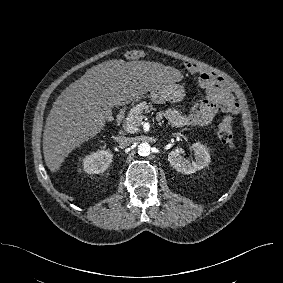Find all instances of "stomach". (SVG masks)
<instances>
[{
	"label": "stomach",
	"instance_id": "stomach-1",
	"mask_svg": "<svg viewBox=\"0 0 283 283\" xmlns=\"http://www.w3.org/2000/svg\"><path fill=\"white\" fill-rule=\"evenodd\" d=\"M147 97L154 103L163 104L167 101L177 103L185 97L183 86L178 84L163 85L149 92ZM139 100V99H138ZM136 100V101H138Z\"/></svg>",
	"mask_w": 283,
	"mask_h": 283
}]
</instances>
